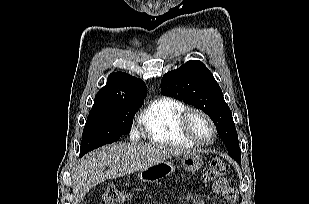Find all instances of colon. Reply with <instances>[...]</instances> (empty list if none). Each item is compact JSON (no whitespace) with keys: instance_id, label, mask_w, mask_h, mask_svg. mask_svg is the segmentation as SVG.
I'll return each instance as SVG.
<instances>
[{"instance_id":"5ec220e1","label":"colon","mask_w":309,"mask_h":204,"mask_svg":"<svg viewBox=\"0 0 309 204\" xmlns=\"http://www.w3.org/2000/svg\"><path fill=\"white\" fill-rule=\"evenodd\" d=\"M228 167L226 163L220 159H213L203 176L205 182H217L227 173ZM129 199V193L116 186H107L102 195L104 204H125Z\"/></svg>"}]
</instances>
